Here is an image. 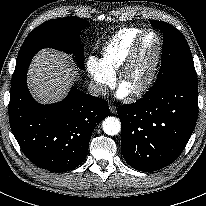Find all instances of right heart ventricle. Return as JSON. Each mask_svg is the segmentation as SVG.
<instances>
[{
    "mask_svg": "<svg viewBox=\"0 0 206 206\" xmlns=\"http://www.w3.org/2000/svg\"><path fill=\"white\" fill-rule=\"evenodd\" d=\"M143 31L142 28L121 29L106 43L97 61L108 74L115 77L135 40Z\"/></svg>",
    "mask_w": 206,
    "mask_h": 206,
    "instance_id": "e07e8e85",
    "label": "right heart ventricle"
}]
</instances>
